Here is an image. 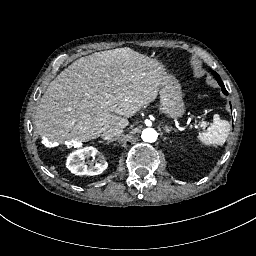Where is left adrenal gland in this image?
<instances>
[{
  "instance_id": "1",
  "label": "left adrenal gland",
  "mask_w": 256,
  "mask_h": 256,
  "mask_svg": "<svg viewBox=\"0 0 256 256\" xmlns=\"http://www.w3.org/2000/svg\"><path fill=\"white\" fill-rule=\"evenodd\" d=\"M164 130L167 132V133H170L172 130L177 132V129L173 128L172 126H168V125H165L164 126Z\"/></svg>"
}]
</instances>
